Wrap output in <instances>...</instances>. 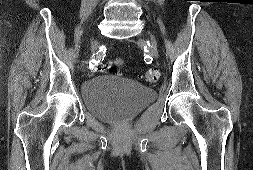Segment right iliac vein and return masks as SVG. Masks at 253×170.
Listing matches in <instances>:
<instances>
[{
    "label": "right iliac vein",
    "instance_id": "right-iliac-vein-1",
    "mask_svg": "<svg viewBox=\"0 0 253 170\" xmlns=\"http://www.w3.org/2000/svg\"><path fill=\"white\" fill-rule=\"evenodd\" d=\"M96 49V41H92V44H91V51L94 52Z\"/></svg>",
    "mask_w": 253,
    "mask_h": 170
}]
</instances>
